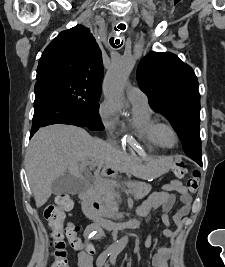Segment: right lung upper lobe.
I'll return each mask as SVG.
<instances>
[{"instance_id":"1","label":"right lung upper lobe","mask_w":225,"mask_h":267,"mask_svg":"<svg viewBox=\"0 0 225 267\" xmlns=\"http://www.w3.org/2000/svg\"><path fill=\"white\" fill-rule=\"evenodd\" d=\"M63 76L101 88L102 53L90 31L77 25L62 31L46 47L37 67L36 79Z\"/></svg>"}]
</instances>
